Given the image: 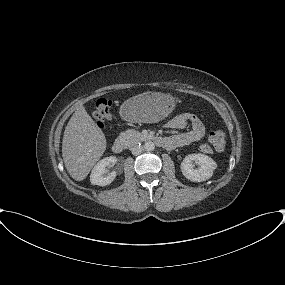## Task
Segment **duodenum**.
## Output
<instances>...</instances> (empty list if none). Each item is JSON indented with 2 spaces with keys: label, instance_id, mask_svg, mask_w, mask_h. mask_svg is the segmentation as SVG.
I'll return each instance as SVG.
<instances>
[{
  "label": "duodenum",
  "instance_id": "obj_1",
  "mask_svg": "<svg viewBox=\"0 0 285 285\" xmlns=\"http://www.w3.org/2000/svg\"><path fill=\"white\" fill-rule=\"evenodd\" d=\"M152 141L160 147H167L168 140L164 137H155ZM126 141L122 138H117L112 144V151L116 154L122 153L126 150Z\"/></svg>",
  "mask_w": 285,
  "mask_h": 285
}]
</instances>
